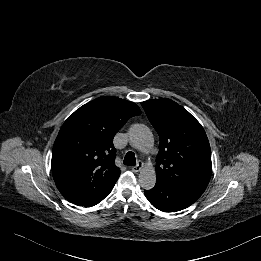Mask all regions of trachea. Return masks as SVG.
<instances>
[{
	"label": "trachea",
	"instance_id": "3493384b",
	"mask_svg": "<svg viewBox=\"0 0 261 261\" xmlns=\"http://www.w3.org/2000/svg\"><path fill=\"white\" fill-rule=\"evenodd\" d=\"M123 164L127 165V166H135L136 165V157L135 154L131 151H129L125 157H124V161Z\"/></svg>",
	"mask_w": 261,
	"mask_h": 261
}]
</instances>
